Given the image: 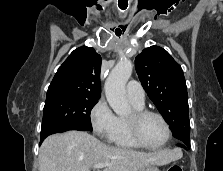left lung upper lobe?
<instances>
[{"label":"left lung upper lobe","mask_w":223,"mask_h":171,"mask_svg":"<svg viewBox=\"0 0 223 171\" xmlns=\"http://www.w3.org/2000/svg\"><path fill=\"white\" fill-rule=\"evenodd\" d=\"M143 88L178 142L190 143L188 95L182 68L163 48H145L135 58Z\"/></svg>","instance_id":"obj_1"}]
</instances>
